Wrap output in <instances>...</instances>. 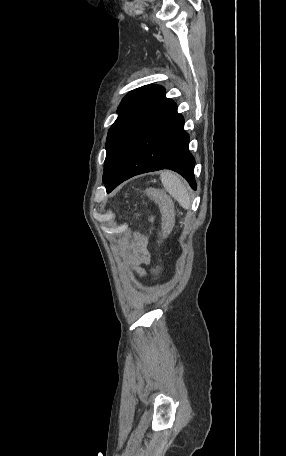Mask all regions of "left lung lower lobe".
<instances>
[{
    "mask_svg": "<svg viewBox=\"0 0 286 456\" xmlns=\"http://www.w3.org/2000/svg\"><path fill=\"white\" fill-rule=\"evenodd\" d=\"M189 135L184 131V118L172 103L152 121L129 147L107 192L123 181L146 172L170 169L181 174L196 190L195 160L188 149Z\"/></svg>",
    "mask_w": 286,
    "mask_h": 456,
    "instance_id": "obj_1",
    "label": "left lung lower lobe"
}]
</instances>
